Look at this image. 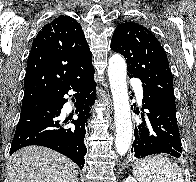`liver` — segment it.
<instances>
[{
	"label": "liver",
	"instance_id": "6515ba94",
	"mask_svg": "<svg viewBox=\"0 0 196 182\" xmlns=\"http://www.w3.org/2000/svg\"><path fill=\"white\" fill-rule=\"evenodd\" d=\"M10 182H78L77 166L65 156L45 147L27 146L8 162Z\"/></svg>",
	"mask_w": 196,
	"mask_h": 182
}]
</instances>
